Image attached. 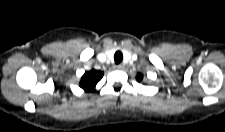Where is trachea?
<instances>
[{
	"mask_svg": "<svg viewBox=\"0 0 225 132\" xmlns=\"http://www.w3.org/2000/svg\"><path fill=\"white\" fill-rule=\"evenodd\" d=\"M123 60V54L120 51H117L114 55V61L116 64H119Z\"/></svg>",
	"mask_w": 225,
	"mask_h": 132,
	"instance_id": "3493384b",
	"label": "trachea"
}]
</instances>
